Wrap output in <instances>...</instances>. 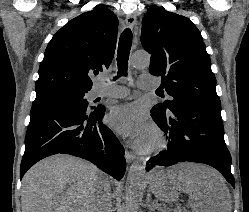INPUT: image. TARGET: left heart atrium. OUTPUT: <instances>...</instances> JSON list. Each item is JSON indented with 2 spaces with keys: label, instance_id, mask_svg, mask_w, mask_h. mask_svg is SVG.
<instances>
[{
  "label": "left heart atrium",
  "instance_id": "1",
  "mask_svg": "<svg viewBox=\"0 0 249 212\" xmlns=\"http://www.w3.org/2000/svg\"><path fill=\"white\" fill-rule=\"evenodd\" d=\"M108 124L118 133L129 137L136 147L146 145L149 128L137 105L114 107L108 116Z\"/></svg>",
  "mask_w": 249,
  "mask_h": 212
}]
</instances>
